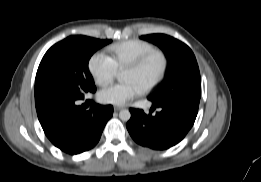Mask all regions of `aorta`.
Returning <instances> with one entry per match:
<instances>
[{
	"label": "aorta",
	"instance_id": "762f6f07",
	"mask_svg": "<svg viewBox=\"0 0 261 182\" xmlns=\"http://www.w3.org/2000/svg\"><path fill=\"white\" fill-rule=\"evenodd\" d=\"M119 118L122 121H128L131 118V113L129 110L125 109V110H121L119 113Z\"/></svg>",
	"mask_w": 261,
	"mask_h": 182
}]
</instances>
